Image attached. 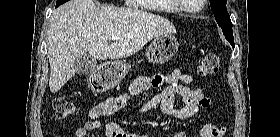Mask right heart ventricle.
<instances>
[{
  "label": "right heart ventricle",
  "instance_id": "obj_1",
  "mask_svg": "<svg viewBox=\"0 0 280 137\" xmlns=\"http://www.w3.org/2000/svg\"><path fill=\"white\" fill-rule=\"evenodd\" d=\"M165 9H167L168 11L166 13H169V14H173V13H176L177 11L172 8V7H166Z\"/></svg>",
  "mask_w": 280,
  "mask_h": 137
}]
</instances>
